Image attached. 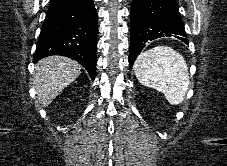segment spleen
Returning a JSON list of instances; mask_svg holds the SVG:
<instances>
[{"label":"spleen","mask_w":227,"mask_h":166,"mask_svg":"<svg viewBox=\"0 0 227 166\" xmlns=\"http://www.w3.org/2000/svg\"><path fill=\"white\" fill-rule=\"evenodd\" d=\"M138 81L161 92L171 105L180 104L189 89L186 61L167 46H158L142 52L135 61Z\"/></svg>","instance_id":"spleen-1"}]
</instances>
